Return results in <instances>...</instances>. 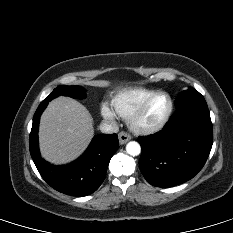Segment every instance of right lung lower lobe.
Wrapping results in <instances>:
<instances>
[{"label":"right lung lower lobe","mask_w":233,"mask_h":233,"mask_svg":"<svg viewBox=\"0 0 233 233\" xmlns=\"http://www.w3.org/2000/svg\"><path fill=\"white\" fill-rule=\"evenodd\" d=\"M48 102L42 101L33 117L30 154L42 178L55 190L72 196H87L98 189L105 178L111 157L119 146L116 134H100L76 161L54 166L43 160L38 148V127Z\"/></svg>","instance_id":"98d812e1"}]
</instances>
